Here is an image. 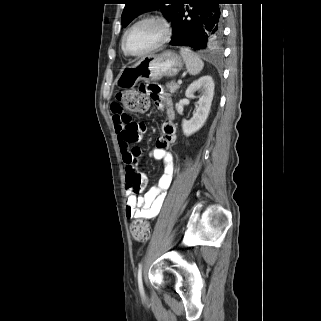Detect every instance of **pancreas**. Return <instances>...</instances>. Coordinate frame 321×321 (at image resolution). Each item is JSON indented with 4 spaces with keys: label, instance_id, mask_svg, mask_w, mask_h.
<instances>
[{
    "label": "pancreas",
    "instance_id": "pancreas-1",
    "mask_svg": "<svg viewBox=\"0 0 321 321\" xmlns=\"http://www.w3.org/2000/svg\"><path fill=\"white\" fill-rule=\"evenodd\" d=\"M166 87L171 93H175L180 88V84L171 81L170 83L166 84Z\"/></svg>",
    "mask_w": 321,
    "mask_h": 321
}]
</instances>
